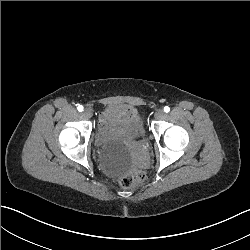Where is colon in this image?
<instances>
[{
  "mask_svg": "<svg viewBox=\"0 0 250 250\" xmlns=\"http://www.w3.org/2000/svg\"><path fill=\"white\" fill-rule=\"evenodd\" d=\"M147 179V173L142 168H133L131 171H121L117 175V184L124 190L130 191L135 185L145 184Z\"/></svg>",
  "mask_w": 250,
  "mask_h": 250,
  "instance_id": "obj_1",
  "label": "colon"
}]
</instances>
